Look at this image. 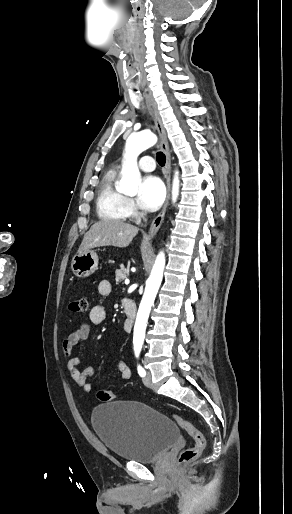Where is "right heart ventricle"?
Masks as SVG:
<instances>
[{
    "label": "right heart ventricle",
    "instance_id": "1",
    "mask_svg": "<svg viewBox=\"0 0 292 514\" xmlns=\"http://www.w3.org/2000/svg\"><path fill=\"white\" fill-rule=\"evenodd\" d=\"M117 173L106 172L97 188L96 211L100 219L123 220L129 213V201L115 186Z\"/></svg>",
    "mask_w": 292,
    "mask_h": 514
}]
</instances>
